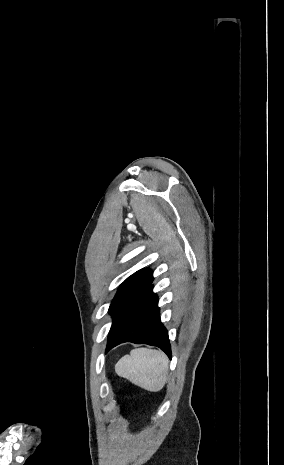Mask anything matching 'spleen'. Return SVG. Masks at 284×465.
Returning <instances> with one entry per match:
<instances>
[{
	"label": "spleen",
	"instance_id": "1",
	"mask_svg": "<svg viewBox=\"0 0 284 465\" xmlns=\"http://www.w3.org/2000/svg\"><path fill=\"white\" fill-rule=\"evenodd\" d=\"M119 377L142 387L145 391L158 393L163 389L168 375V359L155 349H133L115 365Z\"/></svg>",
	"mask_w": 284,
	"mask_h": 465
}]
</instances>
